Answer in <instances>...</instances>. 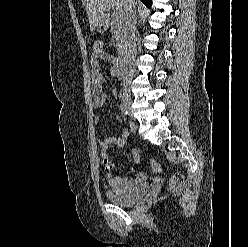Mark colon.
I'll list each match as a JSON object with an SVG mask.
<instances>
[{
	"label": "colon",
	"mask_w": 248,
	"mask_h": 247,
	"mask_svg": "<svg viewBox=\"0 0 248 247\" xmlns=\"http://www.w3.org/2000/svg\"><path fill=\"white\" fill-rule=\"evenodd\" d=\"M93 50H94V52H101L103 50V43L101 41L94 42ZM133 159L136 162L141 161V153L138 150L133 151ZM149 165H150V169L153 172L158 173L161 171V165H160L159 161H157L155 159H151V160H149ZM183 180H184V178L182 175H174L170 181L171 189L176 190V189L180 188L181 185L183 184Z\"/></svg>",
	"instance_id": "obj_1"
}]
</instances>
